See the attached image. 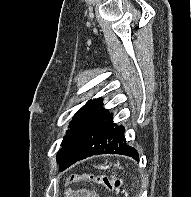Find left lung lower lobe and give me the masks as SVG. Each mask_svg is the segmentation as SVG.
<instances>
[{
	"mask_svg": "<svg viewBox=\"0 0 191 197\" xmlns=\"http://www.w3.org/2000/svg\"><path fill=\"white\" fill-rule=\"evenodd\" d=\"M102 107L101 98L90 100L75 114L67 131L73 150L59 163L60 171L94 154H121L139 161L136 149L125 142L124 127L113 123L112 114Z\"/></svg>",
	"mask_w": 191,
	"mask_h": 197,
	"instance_id": "1",
	"label": "left lung lower lobe"
}]
</instances>
